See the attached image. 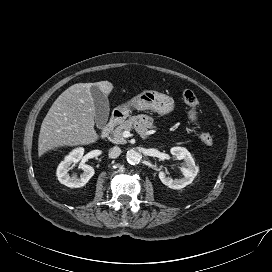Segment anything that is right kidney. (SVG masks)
I'll return each mask as SVG.
<instances>
[{
    "label": "right kidney",
    "mask_w": 272,
    "mask_h": 272,
    "mask_svg": "<svg viewBox=\"0 0 272 272\" xmlns=\"http://www.w3.org/2000/svg\"><path fill=\"white\" fill-rule=\"evenodd\" d=\"M84 154V148H76L67 155L59 164L56 175L61 184L70 188L83 187L94 175V168L85 163H80L79 168L83 170L80 178L77 176H70L68 171L72 163H78Z\"/></svg>",
    "instance_id": "1"
}]
</instances>
